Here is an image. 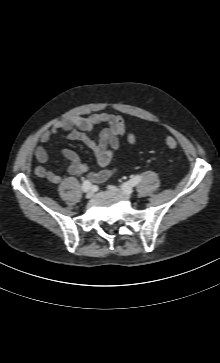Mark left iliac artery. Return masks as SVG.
<instances>
[{
    "label": "left iliac artery",
    "instance_id": "1",
    "mask_svg": "<svg viewBox=\"0 0 220 363\" xmlns=\"http://www.w3.org/2000/svg\"><path fill=\"white\" fill-rule=\"evenodd\" d=\"M141 181V176H133L128 182L122 184L121 188L125 191H129L131 187L136 186Z\"/></svg>",
    "mask_w": 220,
    "mask_h": 363
}]
</instances>
